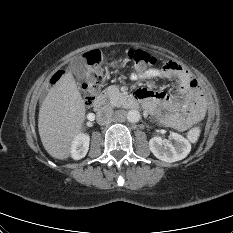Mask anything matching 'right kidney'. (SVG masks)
<instances>
[{
	"label": "right kidney",
	"mask_w": 233,
	"mask_h": 233,
	"mask_svg": "<svg viewBox=\"0 0 233 233\" xmlns=\"http://www.w3.org/2000/svg\"><path fill=\"white\" fill-rule=\"evenodd\" d=\"M89 135L80 133L78 134L71 145V156L75 160L82 159L86 156L89 149Z\"/></svg>",
	"instance_id": "right-kidney-1"
}]
</instances>
